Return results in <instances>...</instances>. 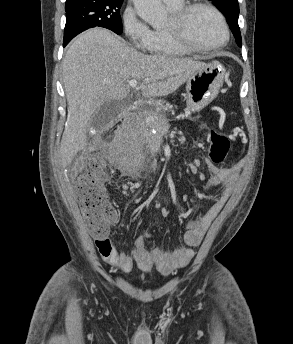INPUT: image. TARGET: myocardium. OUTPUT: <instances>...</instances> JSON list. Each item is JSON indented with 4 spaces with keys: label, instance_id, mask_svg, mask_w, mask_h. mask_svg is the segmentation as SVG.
Segmentation results:
<instances>
[{
    "label": "myocardium",
    "instance_id": "f54148a6",
    "mask_svg": "<svg viewBox=\"0 0 293 344\" xmlns=\"http://www.w3.org/2000/svg\"><path fill=\"white\" fill-rule=\"evenodd\" d=\"M197 8H205L211 11L219 20L223 31H224V38L223 40L214 45L209 47H202L198 46L190 41L188 36L185 32V21L187 16L191 11ZM172 26L170 28L165 29L166 33L180 46L185 48L190 52L196 53H211L220 50L224 46H226L230 40V29L228 23L226 21L225 16L223 13L211 3H208L203 0H194L191 3H187L182 5L181 7L172 11Z\"/></svg>",
    "mask_w": 293,
    "mask_h": 344
}]
</instances>
